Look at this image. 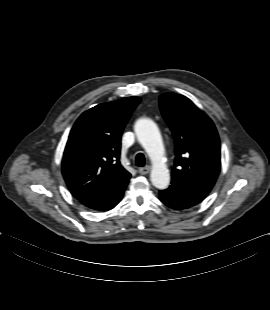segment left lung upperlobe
Listing matches in <instances>:
<instances>
[{"instance_id": "5c2ea615", "label": "left lung upper lobe", "mask_w": 270, "mask_h": 310, "mask_svg": "<svg viewBox=\"0 0 270 310\" xmlns=\"http://www.w3.org/2000/svg\"><path fill=\"white\" fill-rule=\"evenodd\" d=\"M160 109L175 139L172 179L212 188L220 171V141L211 119L187 97L164 93Z\"/></svg>"}]
</instances>
